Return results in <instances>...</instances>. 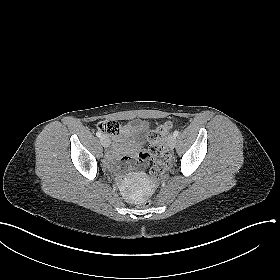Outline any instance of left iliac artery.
Listing matches in <instances>:
<instances>
[{
  "label": "left iliac artery",
  "mask_w": 280,
  "mask_h": 280,
  "mask_svg": "<svg viewBox=\"0 0 280 280\" xmlns=\"http://www.w3.org/2000/svg\"><path fill=\"white\" fill-rule=\"evenodd\" d=\"M178 134H179V132H178V131H174V133H173V135H174L175 137H177V136H178Z\"/></svg>",
  "instance_id": "obj_1"
}]
</instances>
